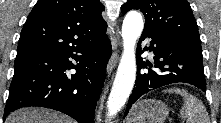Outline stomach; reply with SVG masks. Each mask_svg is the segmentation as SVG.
I'll return each mask as SVG.
<instances>
[{
    "label": "stomach",
    "instance_id": "0dacf381",
    "mask_svg": "<svg viewBox=\"0 0 221 123\" xmlns=\"http://www.w3.org/2000/svg\"><path fill=\"white\" fill-rule=\"evenodd\" d=\"M169 114L168 105L156 99H145L133 106L127 123H164Z\"/></svg>",
    "mask_w": 221,
    "mask_h": 123
}]
</instances>
